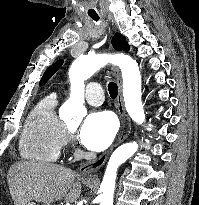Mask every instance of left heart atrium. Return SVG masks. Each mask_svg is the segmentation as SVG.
Here are the masks:
<instances>
[{
    "label": "left heart atrium",
    "instance_id": "left-heart-atrium-1",
    "mask_svg": "<svg viewBox=\"0 0 199 205\" xmlns=\"http://www.w3.org/2000/svg\"><path fill=\"white\" fill-rule=\"evenodd\" d=\"M117 128L113 114L107 111L93 112L84 120L78 133L79 140L92 151H102L114 140Z\"/></svg>",
    "mask_w": 199,
    "mask_h": 205
}]
</instances>
